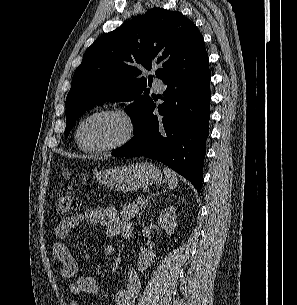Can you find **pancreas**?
Segmentation results:
<instances>
[{"instance_id": "pancreas-1", "label": "pancreas", "mask_w": 297, "mask_h": 305, "mask_svg": "<svg viewBox=\"0 0 297 305\" xmlns=\"http://www.w3.org/2000/svg\"><path fill=\"white\" fill-rule=\"evenodd\" d=\"M139 201H140V199L138 198L136 200V203L133 202V203L123 206V209L120 213L123 221H128V220L134 218L138 214L139 210L143 206V203H138Z\"/></svg>"}]
</instances>
